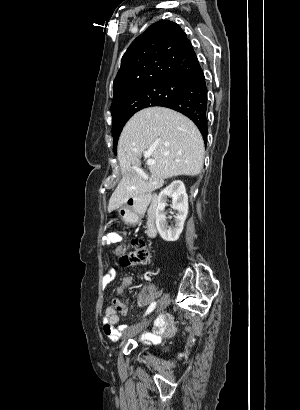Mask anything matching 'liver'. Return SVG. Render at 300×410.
Wrapping results in <instances>:
<instances>
[{
	"label": "liver",
	"instance_id": "1",
	"mask_svg": "<svg viewBox=\"0 0 300 410\" xmlns=\"http://www.w3.org/2000/svg\"><path fill=\"white\" fill-rule=\"evenodd\" d=\"M145 152H151L149 159L156 162L149 165L150 178L136 172ZM117 154L123 177L109 200V213L132 197L159 189L165 179L198 175L203 166L204 142L195 124L181 113L151 107L127 122Z\"/></svg>",
	"mask_w": 300,
	"mask_h": 410
}]
</instances>
